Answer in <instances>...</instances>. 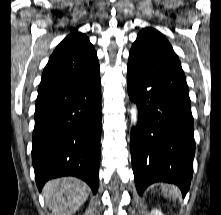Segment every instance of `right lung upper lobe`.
Here are the masks:
<instances>
[{"mask_svg":"<svg viewBox=\"0 0 221 215\" xmlns=\"http://www.w3.org/2000/svg\"><path fill=\"white\" fill-rule=\"evenodd\" d=\"M98 71L93 45L85 34L74 30L51 55L38 87L37 100L81 82Z\"/></svg>","mask_w":221,"mask_h":215,"instance_id":"obj_1","label":"right lung upper lobe"}]
</instances>
